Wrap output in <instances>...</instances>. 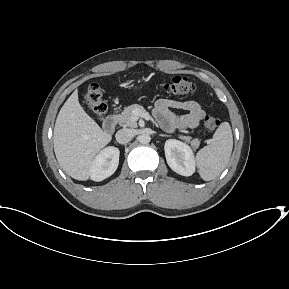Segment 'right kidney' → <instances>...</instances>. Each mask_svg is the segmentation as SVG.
<instances>
[{
  "instance_id": "obj_1",
  "label": "right kidney",
  "mask_w": 289,
  "mask_h": 289,
  "mask_svg": "<svg viewBox=\"0 0 289 289\" xmlns=\"http://www.w3.org/2000/svg\"><path fill=\"white\" fill-rule=\"evenodd\" d=\"M120 151L116 147H106L101 150L90 166V178L94 181H102L110 177L119 164Z\"/></svg>"
}]
</instances>
